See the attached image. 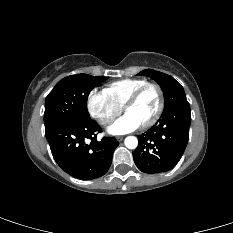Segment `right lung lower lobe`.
<instances>
[{
  "instance_id": "1",
  "label": "right lung lower lobe",
  "mask_w": 233,
  "mask_h": 233,
  "mask_svg": "<svg viewBox=\"0 0 233 233\" xmlns=\"http://www.w3.org/2000/svg\"><path fill=\"white\" fill-rule=\"evenodd\" d=\"M101 127L91 118L65 122L45 130L52 155L71 176L90 180L104 175L119 142L114 137L97 141Z\"/></svg>"
}]
</instances>
